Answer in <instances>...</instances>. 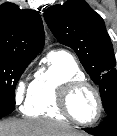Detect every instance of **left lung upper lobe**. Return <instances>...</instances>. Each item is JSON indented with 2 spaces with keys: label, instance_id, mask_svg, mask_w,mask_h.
<instances>
[{
  "label": "left lung upper lobe",
  "instance_id": "left-lung-upper-lobe-1",
  "mask_svg": "<svg viewBox=\"0 0 117 136\" xmlns=\"http://www.w3.org/2000/svg\"><path fill=\"white\" fill-rule=\"evenodd\" d=\"M44 18L57 40L71 47L95 84L105 112L117 110L116 60L101 16L84 0L47 8Z\"/></svg>",
  "mask_w": 117,
  "mask_h": 136
}]
</instances>
